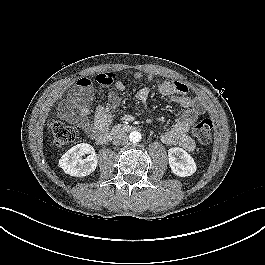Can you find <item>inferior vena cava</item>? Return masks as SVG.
I'll return each instance as SVG.
<instances>
[{"label":"inferior vena cava","mask_w":265,"mask_h":265,"mask_svg":"<svg viewBox=\"0 0 265 265\" xmlns=\"http://www.w3.org/2000/svg\"><path fill=\"white\" fill-rule=\"evenodd\" d=\"M128 142V137L126 133L116 134L113 138L114 145H124Z\"/></svg>","instance_id":"obj_1"}]
</instances>
